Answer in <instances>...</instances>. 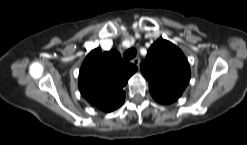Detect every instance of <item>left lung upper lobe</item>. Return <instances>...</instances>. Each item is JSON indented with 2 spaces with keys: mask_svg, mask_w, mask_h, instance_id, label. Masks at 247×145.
<instances>
[{
  "mask_svg": "<svg viewBox=\"0 0 247 145\" xmlns=\"http://www.w3.org/2000/svg\"><path fill=\"white\" fill-rule=\"evenodd\" d=\"M141 72L149 82L150 91L178 99L190 79V67L182 51L165 39H158L141 63Z\"/></svg>",
  "mask_w": 247,
  "mask_h": 145,
  "instance_id": "obj_1",
  "label": "left lung upper lobe"
}]
</instances>
